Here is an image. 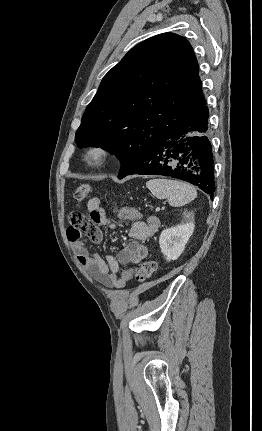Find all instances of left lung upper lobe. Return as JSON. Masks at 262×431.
<instances>
[{
  "label": "left lung upper lobe",
  "mask_w": 262,
  "mask_h": 431,
  "mask_svg": "<svg viewBox=\"0 0 262 431\" xmlns=\"http://www.w3.org/2000/svg\"><path fill=\"white\" fill-rule=\"evenodd\" d=\"M205 105L191 45L182 36L163 33L136 45L104 76L75 142L115 154L121 179Z\"/></svg>",
  "instance_id": "5c2ea615"
}]
</instances>
